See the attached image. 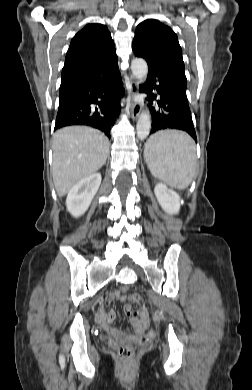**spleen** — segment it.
Instances as JSON below:
<instances>
[{
    "mask_svg": "<svg viewBox=\"0 0 252 390\" xmlns=\"http://www.w3.org/2000/svg\"><path fill=\"white\" fill-rule=\"evenodd\" d=\"M144 157L152 175L172 188L185 189L196 167L194 141L184 132L161 131L145 145Z\"/></svg>",
    "mask_w": 252,
    "mask_h": 390,
    "instance_id": "obj_1",
    "label": "spleen"
}]
</instances>
